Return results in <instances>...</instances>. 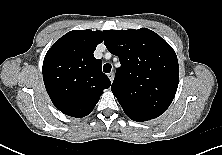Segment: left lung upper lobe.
Returning <instances> with one entry per match:
<instances>
[{
	"label": "left lung upper lobe",
	"mask_w": 222,
	"mask_h": 155,
	"mask_svg": "<svg viewBox=\"0 0 222 155\" xmlns=\"http://www.w3.org/2000/svg\"><path fill=\"white\" fill-rule=\"evenodd\" d=\"M107 49L119 57L111 90L129 118L160 116L175 97L179 69L173 48L147 29L105 30Z\"/></svg>",
	"instance_id": "left-lung-upper-lobe-1"
}]
</instances>
